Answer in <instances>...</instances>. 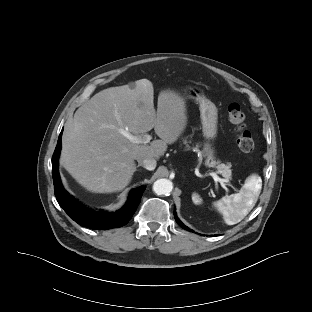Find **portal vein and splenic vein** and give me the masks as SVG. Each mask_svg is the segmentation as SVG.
Returning <instances> with one entry per match:
<instances>
[{"label": "portal vein and splenic vein", "instance_id": "1", "mask_svg": "<svg viewBox=\"0 0 312 312\" xmlns=\"http://www.w3.org/2000/svg\"><path fill=\"white\" fill-rule=\"evenodd\" d=\"M120 133H121L124 137H126L129 141H131V142H133V143H143V144H146V143H148V142L152 139L151 135L146 134V135H144V136H142V137H138V136L132 135V134H131L130 132H128L127 130H121ZM211 175H212V177H213V179H214L215 182H219L220 185H221L224 189H226V186H225L226 184H225V182H227V181H226L225 179L220 178L215 172H212Z\"/></svg>", "mask_w": 312, "mask_h": 312}]
</instances>
